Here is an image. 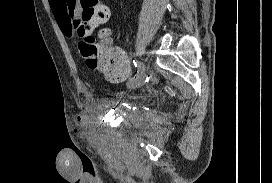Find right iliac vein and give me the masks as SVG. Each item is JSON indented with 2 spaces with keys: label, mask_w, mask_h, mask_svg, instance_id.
<instances>
[{
  "label": "right iliac vein",
  "mask_w": 272,
  "mask_h": 183,
  "mask_svg": "<svg viewBox=\"0 0 272 183\" xmlns=\"http://www.w3.org/2000/svg\"><path fill=\"white\" fill-rule=\"evenodd\" d=\"M143 70V75H141V78H138L137 81H129L127 86L129 89H135L137 87H140L143 84L144 78H145V68L140 69Z\"/></svg>",
  "instance_id": "1"
}]
</instances>
